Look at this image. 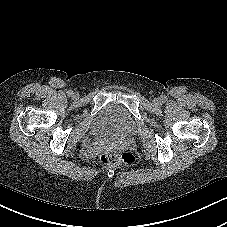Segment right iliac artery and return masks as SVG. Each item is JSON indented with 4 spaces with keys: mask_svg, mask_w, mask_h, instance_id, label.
Listing matches in <instances>:
<instances>
[{
    "mask_svg": "<svg viewBox=\"0 0 227 227\" xmlns=\"http://www.w3.org/2000/svg\"><path fill=\"white\" fill-rule=\"evenodd\" d=\"M67 95H68V96H72V95H73V91H72V90H69V91L67 92Z\"/></svg>",
    "mask_w": 227,
    "mask_h": 227,
    "instance_id": "obj_1",
    "label": "right iliac artery"
}]
</instances>
